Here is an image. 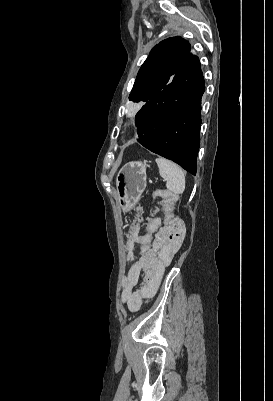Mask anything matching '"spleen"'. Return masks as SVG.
I'll return each mask as SVG.
<instances>
[{"label":"spleen","instance_id":"obj_1","mask_svg":"<svg viewBox=\"0 0 273 401\" xmlns=\"http://www.w3.org/2000/svg\"><path fill=\"white\" fill-rule=\"evenodd\" d=\"M156 162L162 178H166L168 190L174 194H182L185 190V176L182 168L167 158H156Z\"/></svg>","mask_w":273,"mask_h":401}]
</instances>
